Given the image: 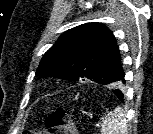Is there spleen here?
I'll list each match as a JSON object with an SVG mask.
<instances>
[{"mask_svg":"<svg viewBox=\"0 0 153 134\" xmlns=\"http://www.w3.org/2000/svg\"><path fill=\"white\" fill-rule=\"evenodd\" d=\"M127 120L120 107L108 112L101 124V134H126Z\"/></svg>","mask_w":153,"mask_h":134,"instance_id":"1","label":"spleen"}]
</instances>
